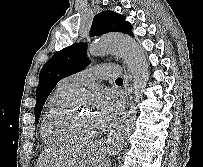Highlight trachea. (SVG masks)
Segmentation results:
<instances>
[{"instance_id":"1","label":"trachea","mask_w":203,"mask_h":167,"mask_svg":"<svg viewBox=\"0 0 203 167\" xmlns=\"http://www.w3.org/2000/svg\"><path fill=\"white\" fill-rule=\"evenodd\" d=\"M116 82H123L122 78H117Z\"/></svg>"}]
</instances>
